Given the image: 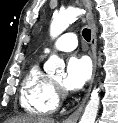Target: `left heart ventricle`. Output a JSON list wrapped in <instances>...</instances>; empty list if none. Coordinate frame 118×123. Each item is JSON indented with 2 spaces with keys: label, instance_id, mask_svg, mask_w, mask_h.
Wrapping results in <instances>:
<instances>
[{
  "label": "left heart ventricle",
  "instance_id": "obj_1",
  "mask_svg": "<svg viewBox=\"0 0 118 123\" xmlns=\"http://www.w3.org/2000/svg\"><path fill=\"white\" fill-rule=\"evenodd\" d=\"M61 81H62L61 77L54 79V82L57 84L61 83Z\"/></svg>",
  "mask_w": 118,
  "mask_h": 123
}]
</instances>
